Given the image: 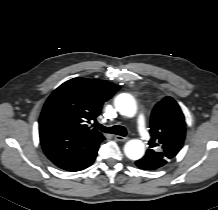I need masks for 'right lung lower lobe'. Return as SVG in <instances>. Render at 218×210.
Masks as SVG:
<instances>
[{
    "mask_svg": "<svg viewBox=\"0 0 218 210\" xmlns=\"http://www.w3.org/2000/svg\"><path fill=\"white\" fill-rule=\"evenodd\" d=\"M45 155L57 167L76 172L89 167L97 156L103 135H78L62 130H40Z\"/></svg>",
    "mask_w": 218,
    "mask_h": 210,
    "instance_id": "right-lung-lower-lobe-1",
    "label": "right lung lower lobe"
}]
</instances>
